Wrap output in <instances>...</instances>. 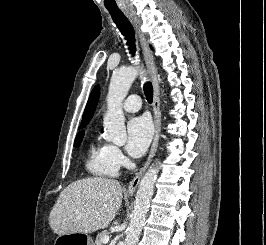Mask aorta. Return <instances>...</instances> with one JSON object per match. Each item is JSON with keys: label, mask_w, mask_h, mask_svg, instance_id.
I'll return each mask as SVG.
<instances>
[{"label": "aorta", "mask_w": 266, "mask_h": 245, "mask_svg": "<svg viewBox=\"0 0 266 245\" xmlns=\"http://www.w3.org/2000/svg\"><path fill=\"white\" fill-rule=\"evenodd\" d=\"M136 76L137 70L134 66L117 70L111 76L107 94V112L103 118V127L106 141H111L118 147L127 143L122 104ZM158 173V167L152 165L141 179L129 227L126 229L125 245H137L139 243L141 229L149 211Z\"/></svg>", "instance_id": "obj_1"}]
</instances>
